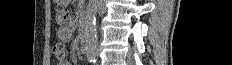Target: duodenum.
<instances>
[{
  "instance_id": "1",
  "label": "duodenum",
  "mask_w": 232,
  "mask_h": 65,
  "mask_svg": "<svg viewBox=\"0 0 232 65\" xmlns=\"http://www.w3.org/2000/svg\"><path fill=\"white\" fill-rule=\"evenodd\" d=\"M79 39L82 44H85L86 41V27L84 24L80 26L79 29Z\"/></svg>"
}]
</instances>
